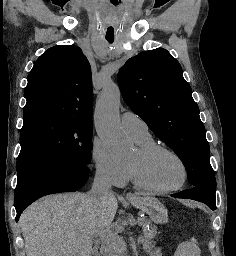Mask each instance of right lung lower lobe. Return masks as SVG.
I'll use <instances>...</instances> for the list:
<instances>
[{
    "instance_id": "right-lung-lower-lobe-1",
    "label": "right lung lower lobe",
    "mask_w": 236,
    "mask_h": 256,
    "mask_svg": "<svg viewBox=\"0 0 236 256\" xmlns=\"http://www.w3.org/2000/svg\"><path fill=\"white\" fill-rule=\"evenodd\" d=\"M90 166L69 163L32 170L18 179L14 193L16 221L26 207L38 198L80 189L88 180Z\"/></svg>"
}]
</instances>
